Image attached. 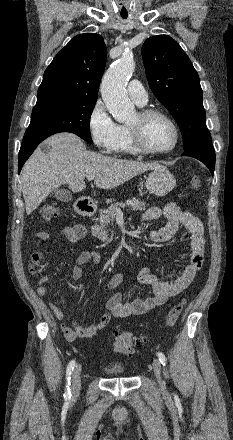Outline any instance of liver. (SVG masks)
I'll use <instances>...</instances> for the list:
<instances>
[{"mask_svg": "<svg viewBox=\"0 0 233 440\" xmlns=\"http://www.w3.org/2000/svg\"><path fill=\"white\" fill-rule=\"evenodd\" d=\"M44 143L50 146L49 152L37 148L22 171L27 215L63 184L74 193L82 191L87 175H94L97 187L113 189L140 173L163 167L158 163L117 159L87 151L83 141L69 132L52 135Z\"/></svg>", "mask_w": 233, "mask_h": 440, "instance_id": "obj_1", "label": "liver"}]
</instances>
